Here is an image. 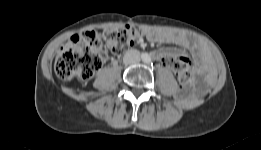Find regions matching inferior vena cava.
Masks as SVG:
<instances>
[{
    "label": "inferior vena cava",
    "instance_id": "obj_1",
    "mask_svg": "<svg viewBox=\"0 0 261 150\" xmlns=\"http://www.w3.org/2000/svg\"><path fill=\"white\" fill-rule=\"evenodd\" d=\"M125 64H136L140 61V52L136 49L128 50L123 58Z\"/></svg>",
    "mask_w": 261,
    "mask_h": 150
}]
</instances>
